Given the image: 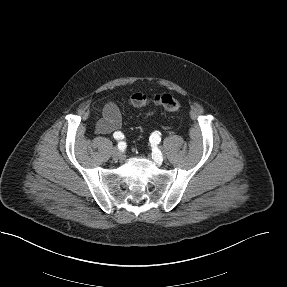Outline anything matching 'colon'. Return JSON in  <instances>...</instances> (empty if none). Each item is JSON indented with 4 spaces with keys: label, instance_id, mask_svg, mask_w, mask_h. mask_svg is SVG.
<instances>
[{
    "label": "colon",
    "instance_id": "5ec220e1",
    "mask_svg": "<svg viewBox=\"0 0 287 287\" xmlns=\"http://www.w3.org/2000/svg\"><path fill=\"white\" fill-rule=\"evenodd\" d=\"M128 103L135 107L154 104L168 112H177L181 108L180 101L173 95L167 93L157 94L152 97H149L143 93H135L129 98Z\"/></svg>",
    "mask_w": 287,
    "mask_h": 287
}]
</instances>
